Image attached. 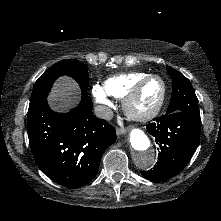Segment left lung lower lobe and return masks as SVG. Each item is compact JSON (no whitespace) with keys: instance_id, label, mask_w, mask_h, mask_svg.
Segmentation results:
<instances>
[{"instance_id":"0a47b994","label":"left lung lower lobe","mask_w":221,"mask_h":221,"mask_svg":"<svg viewBox=\"0 0 221 221\" xmlns=\"http://www.w3.org/2000/svg\"><path fill=\"white\" fill-rule=\"evenodd\" d=\"M200 122L187 112L179 111L147 125L160 151L154 168L141 171L144 178L163 181L181 172L199 144Z\"/></svg>"}]
</instances>
